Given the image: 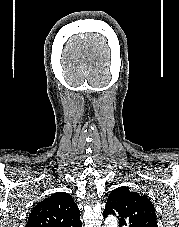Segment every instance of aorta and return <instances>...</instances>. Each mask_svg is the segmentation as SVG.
Returning <instances> with one entry per match:
<instances>
[{
	"label": "aorta",
	"instance_id": "aorta-1",
	"mask_svg": "<svg viewBox=\"0 0 179 227\" xmlns=\"http://www.w3.org/2000/svg\"><path fill=\"white\" fill-rule=\"evenodd\" d=\"M104 227H117V219L115 216L111 215L107 217Z\"/></svg>",
	"mask_w": 179,
	"mask_h": 227
}]
</instances>
